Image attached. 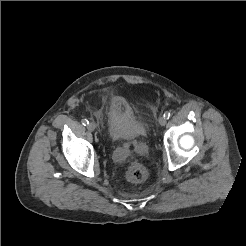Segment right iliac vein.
Segmentation results:
<instances>
[{
    "label": "right iliac vein",
    "instance_id": "right-iliac-vein-1",
    "mask_svg": "<svg viewBox=\"0 0 246 246\" xmlns=\"http://www.w3.org/2000/svg\"><path fill=\"white\" fill-rule=\"evenodd\" d=\"M87 128L88 130L90 131H94L96 129V124L94 122H90L88 125H87Z\"/></svg>",
    "mask_w": 246,
    "mask_h": 246
}]
</instances>
